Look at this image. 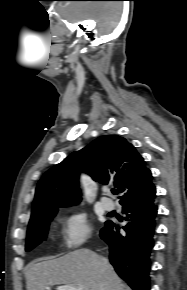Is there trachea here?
Masks as SVG:
<instances>
[{
  "label": "trachea",
  "instance_id": "trachea-1",
  "mask_svg": "<svg viewBox=\"0 0 187 290\" xmlns=\"http://www.w3.org/2000/svg\"><path fill=\"white\" fill-rule=\"evenodd\" d=\"M112 193H113V194H117V190L113 189V190H112Z\"/></svg>",
  "mask_w": 187,
  "mask_h": 290
}]
</instances>
